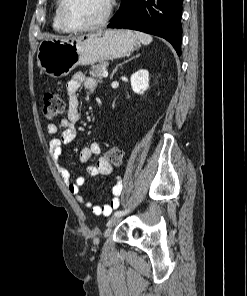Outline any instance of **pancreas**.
Returning a JSON list of instances; mask_svg holds the SVG:
<instances>
[{
    "label": "pancreas",
    "mask_w": 247,
    "mask_h": 296,
    "mask_svg": "<svg viewBox=\"0 0 247 296\" xmlns=\"http://www.w3.org/2000/svg\"><path fill=\"white\" fill-rule=\"evenodd\" d=\"M107 65L108 64L106 62H100L92 66L91 69L89 70L91 77L95 78L97 81L100 82L102 79V73L104 70H106Z\"/></svg>",
    "instance_id": "1"
}]
</instances>
